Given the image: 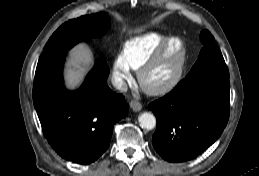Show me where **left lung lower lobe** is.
<instances>
[{
  "mask_svg": "<svg viewBox=\"0 0 259 176\" xmlns=\"http://www.w3.org/2000/svg\"><path fill=\"white\" fill-rule=\"evenodd\" d=\"M229 104V74L211 71L186 77L149 105L157 119L155 150L169 162L196 158L222 134Z\"/></svg>",
  "mask_w": 259,
  "mask_h": 176,
  "instance_id": "0a47b994",
  "label": "left lung lower lobe"
}]
</instances>
